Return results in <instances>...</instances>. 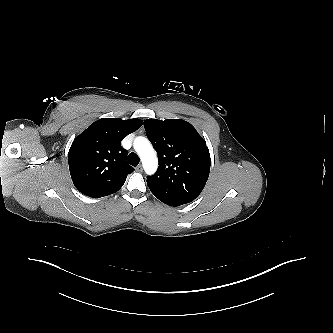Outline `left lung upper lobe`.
Masks as SVG:
<instances>
[{
  "label": "left lung upper lobe",
  "instance_id": "left-lung-upper-lobe-1",
  "mask_svg": "<svg viewBox=\"0 0 333 333\" xmlns=\"http://www.w3.org/2000/svg\"><path fill=\"white\" fill-rule=\"evenodd\" d=\"M144 127L159 159L157 172L147 177L151 192L162 202L170 197L196 199L210 172L205 140L182 119H147Z\"/></svg>",
  "mask_w": 333,
  "mask_h": 333
}]
</instances>
